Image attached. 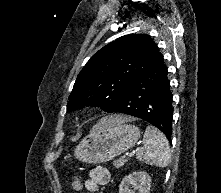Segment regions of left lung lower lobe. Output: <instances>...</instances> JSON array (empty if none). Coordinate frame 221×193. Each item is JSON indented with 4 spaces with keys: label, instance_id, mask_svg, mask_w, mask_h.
I'll list each match as a JSON object with an SVG mask.
<instances>
[{
    "label": "left lung lower lobe",
    "instance_id": "0a47b994",
    "mask_svg": "<svg viewBox=\"0 0 221 193\" xmlns=\"http://www.w3.org/2000/svg\"><path fill=\"white\" fill-rule=\"evenodd\" d=\"M172 93L163 56L139 75L125 96L107 112L141 118L161 130L171 142Z\"/></svg>",
    "mask_w": 221,
    "mask_h": 193
}]
</instances>
